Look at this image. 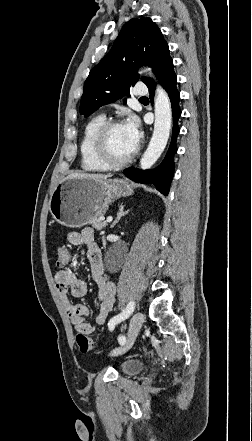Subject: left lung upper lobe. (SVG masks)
I'll return each instance as SVG.
<instances>
[{"instance_id": "obj_1", "label": "left lung upper lobe", "mask_w": 252, "mask_h": 441, "mask_svg": "<svg viewBox=\"0 0 252 441\" xmlns=\"http://www.w3.org/2000/svg\"><path fill=\"white\" fill-rule=\"evenodd\" d=\"M166 47L168 44L160 29L150 18L128 21L109 53L89 73L80 114L88 117L101 106L127 95L139 79L136 69L147 65L155 72ZM141 80L147 85L151 78L142 77Z\"/></svg>"}]
</instances>
